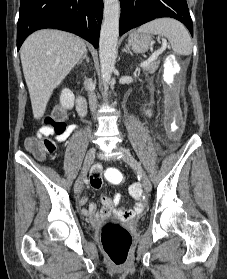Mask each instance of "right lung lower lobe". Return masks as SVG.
<instances>
[{
	"instance_id": "98d812e1",
	"label": "right lung lower lobe",
	"mask_w": 227,
	"mask_h": 279,
	"mask_svg": "<svg viewBox=\"0 0 227 279\" xmlns=\"http://www.w3.org/2000/svg\"><path fill=\"white\" fill-rule=\"evenodd\" d=\"M102 17V0H21L17 50L31 33L44 28L72 32L97 48Z\"/></svg>"
}]
</instances>
